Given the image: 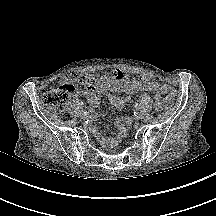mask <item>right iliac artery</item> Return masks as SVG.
<instances>
[{"mask_svg": "<svg viewBox=\"0 0 216 216\" xmlns=\"http://www.w3.org/2000/svg\"><path fill=\"white\" fill-rule=\"evenodd\" d=\"M89 111H90V110H84V111H82V115H83V114H87Z\"/></svg>", "mask_w": 216, "mask_h": 216, "instance_id": "1", "label": "right iliac artery"}]
</instances>
